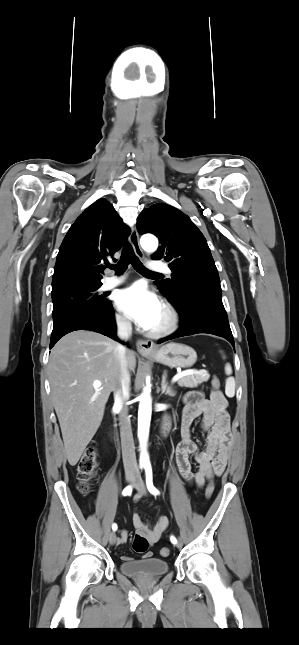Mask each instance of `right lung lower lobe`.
Wrapping results in <instances>:
<instances>
[{
	"label": "right lung lower lobe",
	"instance_id": "right-lung-lower-lobe-1",
	"mask_svg": "<svg viewBox=\"0 0 299 645\" xmlns=\"http://www.w3.org/2000/svg\"><path fill=\"white\" fill-rule=\"evenodd\" d=\"M76 330H90L119 341L112 304L103 310L80 312L53 327L50 348L64 335ZM120 342V341H119Z\"/></svg>",
	"mask_w": 299,
	"mask_h": 645
}]
</instances>
